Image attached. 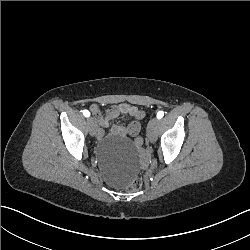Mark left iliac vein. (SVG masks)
Returning <instances> with one entry per match:
<instances>
[{"label": "left iliac vein", "instance_id": "4c4485c4", "mask_svg": "<svg viewBox=\"0 0 250 250\" xmlns=\"http://www.w3.org/2000/svg\"><path fill=\"white\" fill-rule=\"evenodd\" d=\"M159 120L157 118H152L147 127V135L150 142H155L158 134Z\"/></svg>", "mask_w": 250, "mask_h": 250}]
</instances>
